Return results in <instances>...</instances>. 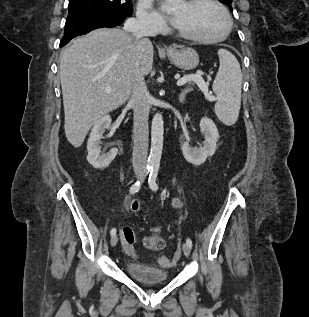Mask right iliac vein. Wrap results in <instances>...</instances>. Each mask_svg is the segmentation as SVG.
Instances as JSON below:
<instances>
[{"label":"right iliac vein","instance_id":"1","mask_svg":"<svg viewBox=\"0 0 309 317\" xmlns=\"http://www.w3.org/2000/svg\"><path fill=\"white\" fill-rule=\"evenodd\" d=\"M141 176H142V172L141 171H136V177L140 178ZM117 242H118V236L117 235H113L111 237V240H110L111 246L112 247L116 246Z\"/></svg>","mask_w":309,"mask_h":317}]
</instances>
